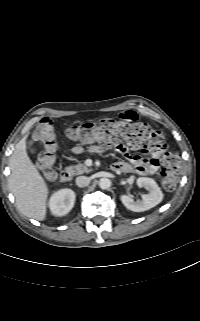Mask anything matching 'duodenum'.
<instances>
[{
    "mask_svg": "<svg viewBox=\"0 0 200 321\" xmlns=\"http://www.w3.org/2000/svg\"><path fill=\"white\" fill-rule=\"evenodd\" d=\"M72 178V171L70 168H65L60 173V180L62 182L70 181Z\"/></svg>",
    "mask_w": 200,
    "mask_h": 321,
    "instance_id": "410a0bca",
    "label": "duodenum"
}]
</instances>
